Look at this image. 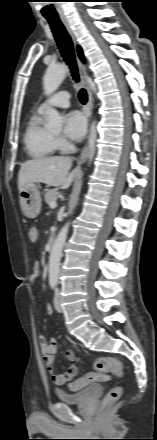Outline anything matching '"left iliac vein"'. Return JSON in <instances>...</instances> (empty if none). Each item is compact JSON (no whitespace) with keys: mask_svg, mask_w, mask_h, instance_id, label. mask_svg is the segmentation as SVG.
Listing matches in <instances>:
<instances>
[{"mask_svg":"<svg viewBox=\"0 0 157 440\" xmlns=\"http://www.w3.org/2000/svg\"><path fill=\"white\" fill-rule=\"evenodd\" d=\"M54 305H55V308L58 312L63 311L62 306H61V294H60L59 289H57L55 292Z\"/></svg>","mask_w":157,"mask_h":440,"instance_id":"4c4485c4","label":"left iliac vein"}]
</instances>
